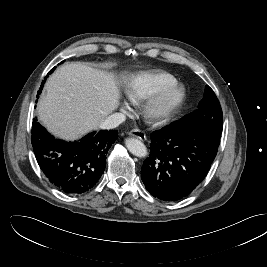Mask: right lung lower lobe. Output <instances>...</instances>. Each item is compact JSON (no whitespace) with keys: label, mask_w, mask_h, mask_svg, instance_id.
I'll use <instances>...</instances> for the list:
<instances>
[{"label":"right lung lower lobe","mask_w":267,"mask_h":267,"mask_svg":"<svg viewBox=\"0 0 267 267\" xmlns=\"http://www.w3.org/2000/svg\"><path fill=\"white\" fill-rule=\"evenodd\" d=\"M32 145L37 162L49 181L68 194L89 191L106 166V154L118 136L116 130L91 133L78 142L51 136L34 119Z\"/></svg>","instance_id":"obj_1"}]
</instances>
